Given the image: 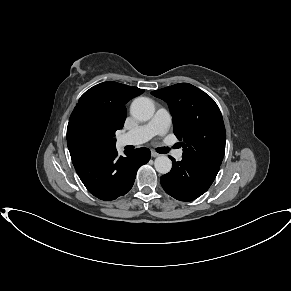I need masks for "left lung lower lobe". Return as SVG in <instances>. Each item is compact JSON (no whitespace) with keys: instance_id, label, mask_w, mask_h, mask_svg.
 <instances>
[{"instance_id":"1","label":"left lung lower lobe","mask_w":291,"mask_h":291,"mask_svg":"<svg viewBox=\"0 0 291 291\" xmlns=\"http://www.w3.org/2000/svg\"><path fill=\"white\" fill-rule=\"evenodd\" d=\"M172 160V169L161 176L167 194L180 201H192L204 194L213 183L219 169L197 165L189 160Z\"/></svg>"}]
</instances>
